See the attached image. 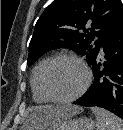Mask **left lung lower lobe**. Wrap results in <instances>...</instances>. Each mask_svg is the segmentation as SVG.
<instances>
[{"label":"left lung lower lobe","instance_id":"1","mask_svg":"<svg viewBox=\"0 0 123 130\" xmlns=\"http://www.w3.org/2000/svg\"><path fill=\"white\" fill-rule=\"evenodd\" d=\"M103 52L104 61L98 54L91 63L93 85L73 104L102 107L123 119V18L103 44Z\"/></svg>","mask_w":123,"mask_h":130}]
</instances>
